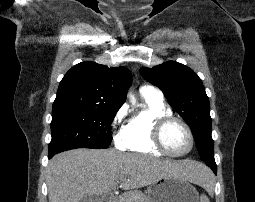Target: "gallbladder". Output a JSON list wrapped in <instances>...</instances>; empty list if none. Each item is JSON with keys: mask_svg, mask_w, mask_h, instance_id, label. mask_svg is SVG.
Masks as SVG:
<instances>
[{"mask_svg": "<svg viewBox=\"0 0 255 202\" xmlns=\"http://www.w3.org/2000/svg\"><path fill=\"white\" fill-rule=\"evenodd\" d=\"M80 202H98V196L85 194L80 200Z\"/></svg>", "mask_w": 255, "mask_h": 202, "instance_id": "bac80fb5", "label": "gallbladder"}]
</instances>
